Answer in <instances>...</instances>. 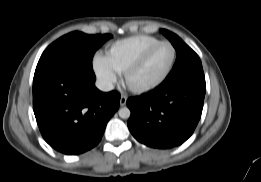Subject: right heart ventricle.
I'll return each mask as SVG.
<instances>
[{
  "mask_svg": "<svg viewBox=\"0 0 261 182\" xmlns=\"http://www.w3.org/2000/svg\"><path fill=\"white\" fill-rule=\"evenodd\" d=\"M158 42L159 39L147 35L129 37L111 44L106 57L118 73H124L142 53Z\"/></svg>",
  "mask_w": 261,
  "mask_h": 182,
  "instance_id": "obj_1",
  "label": "right heart ventricle"
}]
</instances>
